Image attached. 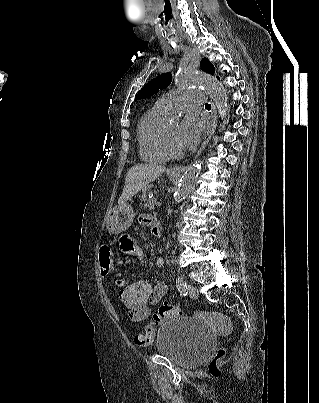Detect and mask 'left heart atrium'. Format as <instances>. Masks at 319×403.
I'll use <instances>...</instances> for the list:
<instances>
[{"instance_id":"39dd6f15","label":"left heart atrium","mask_w":319,"mask_h":403,"mask_svg":"<svg viewBox=\"0 0 319 403\" xmlns=\"http://www.w3.org/2000/svg\"><path fill=\"white\" fill-rule=\"evenodd\" d=\"M203 122L195 114H188L179 126L178 142L183 149L194 148L202 135Z\"/></svg>"}]
</instances>
